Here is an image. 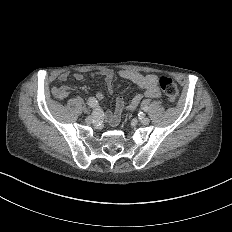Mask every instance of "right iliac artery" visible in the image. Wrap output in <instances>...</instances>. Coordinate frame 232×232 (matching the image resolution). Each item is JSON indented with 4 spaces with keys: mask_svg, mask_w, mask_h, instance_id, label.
<instances>
[{
    "mask_svg": "<svg viewBox=\"0 0 232 232\" xmlns=\"http://www.w3.org/2000/svg\"><path fill=\"white\" fill-rule=\"evenodd\" d=\"M98 104H99V102H98L97 98H95V97H90V98L88 99V105H89V107L95 108V107L98 106Z\"/></svg>",
    "mask_w": 232,
    "mask_h": 232,
    "instance_id": "82829eb1",
    "label": "right iliac artery"
}]
</instances>
